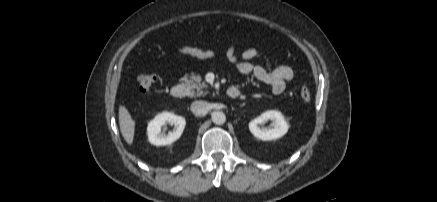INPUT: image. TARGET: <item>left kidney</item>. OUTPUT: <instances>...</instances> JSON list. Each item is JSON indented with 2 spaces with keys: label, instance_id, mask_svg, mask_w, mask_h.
Wrapping results in <instances>:
<instances>
[{
  "label": "left kidney",
  "instance_id": "left-kidney-1",
  "mask_svg": "<svg viewBox=\"0 0 437 202\" xmlns=\"http://www.w3.org/2000/svg\"><path fill=\"white\" fill-rule=\"evenodd\" d=\"M271 120L270 128L260 127L261 124ZM289 125L279 111L269 110L249 122L250 132L263 141L274 140L282 137L288 131Z\"/></svg>",
  "mask_w": 437,
  "mask_h": 202
}]
</instances>
